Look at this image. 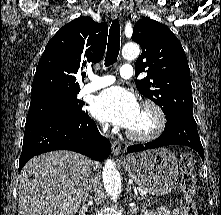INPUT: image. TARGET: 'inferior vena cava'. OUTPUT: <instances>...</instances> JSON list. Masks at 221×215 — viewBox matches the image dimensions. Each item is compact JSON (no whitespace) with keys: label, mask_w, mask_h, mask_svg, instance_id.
<instances>
[{"label":"inferior vena cava","mask_w":221,"mask_h":215,"mask_svg":"<svg viewBox=\"0 0 221 215\" xmlns=\"http://www.w3.org/2000/svg\"><path fill=\"white\" fill-rule=\"evenodd\" d=\"M104 132H106V129L104 130ZM90 182H91V183L93 182L92 179L89 180V183H90Z\"/></svg>","instance_id":"inferior-vena-cava-1"}]
</instances>
